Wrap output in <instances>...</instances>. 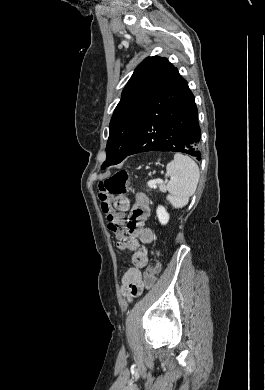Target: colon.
I'll use <instances>...</instances> for the list:
<instances>
[{
    "label": "colon",
    "mask_w": 265,
    "mask_h": 390,
    "mask_svg": "<svg viewBox=\"0 0 265 390\" xmlns=\"http://www.w3.org/2000/svg\"><path fill=\"white\" fill-rule=\"evenodd\" d=\"M130 187L129 175L125 170L115 172L110 177L101 181L98 185V198L101 202V209L106 214L107 227L111 233L120 238L125 229L124 221L119 212H116L111 203L112 196L125 194ZM160 265L155 262L143 275L142 281L145 289L153 287Z\"/></svg>",
    "instance_id": "colon-1"
}]
</instances>
